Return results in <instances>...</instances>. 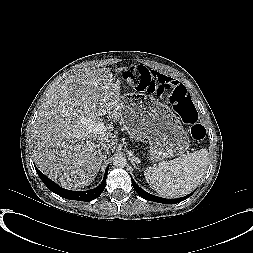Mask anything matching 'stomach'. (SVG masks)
I'll list each match as a JSON object with an SVG mask.
<instances>
[{
    "mask_svg": "<svg viewBox=\"0 0 253 253\" xmlns=\"http://www.w3.org/2000/svg\"><path fill=\"white\" fill-rule=\"evenodd\" d=\"M121 123L130 136L148 143L154 161L183 154L190 145L180 118L165 104L140 94L121 97Z\"/></svg>",
    "mask_w": 253,
    "mask_h": 253,
    "instance_id": "0dacf381",
    "label": "stomach"
}]
</instances>
